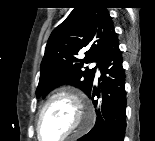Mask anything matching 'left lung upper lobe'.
Instances as JSON below:
<instances>
[{
	"label": "left lung upper lobe",
	"mask_w": 155,
	"mask_h": 141,
	"mask_svg": "<svg viewBox=\"0 0 155 141\" xmlns=\"http://www.w3.org/2000/svg\"><path fill=\"white\" fill-rule=\"evenodd\" d=\"M70 15L51 33L43 60L37 97L68 83L87 94L93 85L96 67L82 71L84 63L99 62L105 48L116 35L104 0H76ZM84 49L85 58L75 56ZM119 101L112 102L114 111Z\"/></svg>",
	"instance_id": "1"
}]
</instances>
